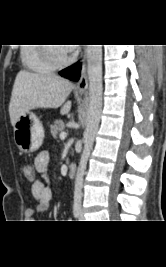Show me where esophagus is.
Here are the masks:
<instances>
[{"label":"esophagus","mask_w":166,"mask_h":267,"mask_svg":"<svg viewBox=\"0 0 166 267\" xmlns=\"http://www.w3.org/2000/svg\"><path fill=\"white\" fill-rule=\"evenodd\" d=\"M86 59V54H84L83 56V62ZM88 87V80H87V76L85 74V72H82L81 77L76 85V89H78L79 91H85Z\"/></svg>","instance_id":"34e87169"}]
</instances>
